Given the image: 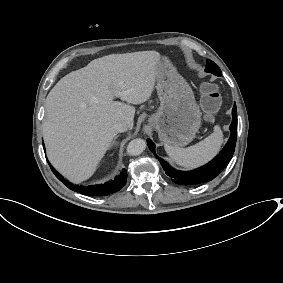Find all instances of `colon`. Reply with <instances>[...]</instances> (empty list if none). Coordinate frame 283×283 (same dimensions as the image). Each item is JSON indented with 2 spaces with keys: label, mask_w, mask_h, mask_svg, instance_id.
<instances>
[{
  "label": "colon",
  "mask_w": 283,
  "mask_h": 283,
  "mask_svg": "<svg viewBox=\"0 0 283 283\" xmlns=\"http://www.w3.org/2000/svg\"><path fill=\"white\" fill-rule=\"evenodd\" d=\"M201 105L204 113L208 117H212L220 108L222 99L216 85L204 82L200 87Z\"/></svg>",
  "instance_id": "colon-1"
}]
</instances>
